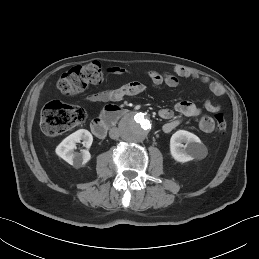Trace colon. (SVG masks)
I'll use <instances>...</instances> for the list:
<instances>
[{
	"label": "colon",
	"mask_w": 259,
	"mask_h": 259,
	"mask_svg": "<svg viewBox=\"0 0 259 259\" xmlns=\"http://www.w3.org/2000/svg\"><path fill=\"white\" fill-rule=\"evenodd\" d=\"M102 80L101 66L97 63H90L73 67L62 74L58 79L57 88L62 94L72 96ZM214 117L218 132H225L227 122L224 113L217 110ZM86 118L87 113L82 107L68 105L60 101H51L45 105L41 112V129L46 135L56 136L85 122Z\"/></svg>",
	"instance_id": "1"
}]
</instances>
